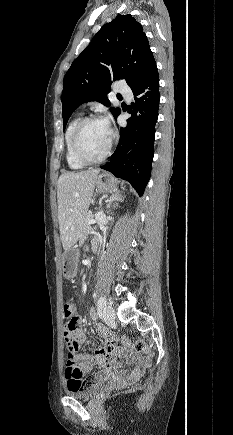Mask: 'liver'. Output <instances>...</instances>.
<instances>
[{
  "label": "liver",
  "instance_id": "6515ba94",
  "mask_svg": "<svg viewBox=\"0 0 233 435\" xmlns=\"http://www.w3.org/2000/svg\"><path fill=\"white\" fill-rule=\"evenodd\" d=\"M99 172L98 169L66 172L58 179V219L64 250L71 248L81 235Z\"/></svg>",
  "mask_w": 233,
  "mask_h": 435
}]
</instances>
